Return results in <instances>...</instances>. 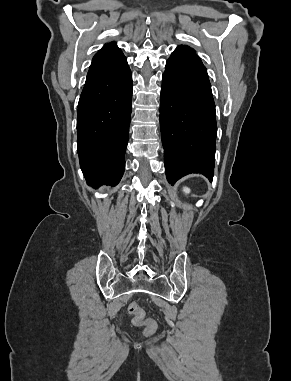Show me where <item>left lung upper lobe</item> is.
<instances>
[{
	"mask_svg": "<svg viewBox=\"0 0 291 381\" xmlns=\"http://www.w3.org/2000/svg\"><path fill=\"white\" fill-rule=\"evenodd\" d=\"M179 48H182V49H185V50H188V51H190V52H192L193 54H195L196 55V53H195V50L194 49H192L191 47H189V46H185V45H180V46H178ZM197 56V55H196Z\"/></svg>",
	"mask_w": 291,
	"mask_h": 381,
	"instance_id": "obj_1",
	"label": "left lung upper lobe"
}]
</instances>
